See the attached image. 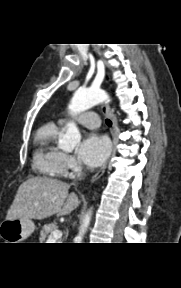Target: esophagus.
<instances>
[{"instance_id": "34e87169", "label": "esophagus", "mask_w": 181, "mask_h": 288, "mask_svg": "<svg viewBox=\"0 0 181 288\" xmlns=\"http://www.w3.org/2000/svg\"><path fill=\"white\" fill-rule=\"evenodd\" d=\"M102 112L111 119L112 123H113V130H112V134L114 136V131L117 127V118L115 116V114L113 113V111L111 110L110 106L108 104H103L102 105ZM107 167V164L103 165L101 167V169L93 176L91 182L93 183L94 181H96L97 179H99L103 173L105 172Z\"/></svg>"}]
</instances>
